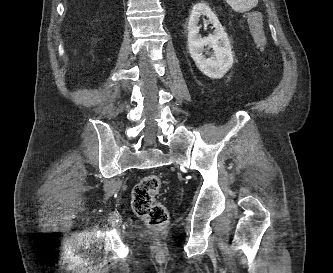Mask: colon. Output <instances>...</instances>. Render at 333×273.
Returning a JSON list of instances; mask_svg holds the SVG:
<instances>
[{"label": "colon", "instance_id": "obj_1", "mask_svg": "<svg viewBox=\"0 0 333 273\" xmlns=\"http://www.w3.org/2000/svg\"><path fill=\"white\" fill-rule=\"evenodd\" d=\"M248 22L255 43L259 46H264L266 44V36L263 29L262 15L258 12H251L248 15ZM265 66H269L267 61ZM161 187L162 180L159 176L147 175L135 185L132 191V208L134 212L154 229L165 227L169 220L168 210L156 200Z\"/></svg>", "mask_w": 333, "mask_h": 273}]
</instances>
